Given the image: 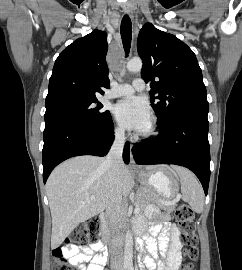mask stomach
I'll use <instances>...</instances> for the list:
<instances>
[{
    "label": "stomach",
    "instance_id": "0dacf381",
    "mask_svg": "<svg viewBox=\"0 0 242 270\" xmlns=\"http://www.w3.org/2000/svg\"><path fill=\"white\" fill-rule=\"evenodd\" d=\"M138 180L146 188L163 198H171L178 192L176 173L167 166H158L138 175Z\"/></svg>",
    "mask_w": 242,
    "mask_h": 270
}]
</instances>
